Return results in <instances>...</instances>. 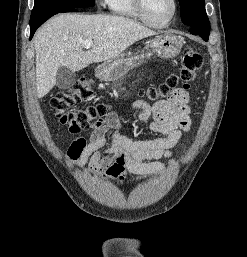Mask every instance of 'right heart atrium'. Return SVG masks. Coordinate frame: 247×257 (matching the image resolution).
Instances as JSON below:
<instances>
[{"mask_svg":"<svg viewBox=\"0 0 247 257\" xmlns=\"http://www.w3.org/2000/svg\"><path fill=\"white\" fill-rule=\"evenodd\" d=\"M98 1H99V4H100L101 6H106L107 3H108V0H98Z\"/></svg>","mask_w":247,"mask_h":257,"instance_id":"right-heart-atrium-1","label":"right heart atrium"}]
</instances>
